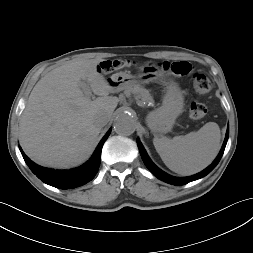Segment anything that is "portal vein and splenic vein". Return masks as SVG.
I'll list each match as a JSON object with an SVG mask.
<instances>
[{
  "mask_svg": "<svg viewBox=\"0 0 253 253\" xmlns=\"http://www.w3.org/2000/svg\"><path fill=\"white\" fill-rule=\"evenodd\" d=\"M81 87L84 91V94L89 98L92 95L90 88L85 83H81Z\"/></svg>",
  "mask_w": 253,
  "mask_h": 253,
  "instance_id": "18ae733b",
  "label": "portal vein and splenic vein"
}]
</instances>
